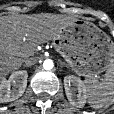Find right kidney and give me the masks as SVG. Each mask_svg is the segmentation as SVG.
<instances>
[{"label":"right kidney","instance_id":"right-kidney-1","mask_svg":"<svg viewBox=\"0 0 114 114\" xmlns=\"http://www.w3.org/2000/svg\"><path fill=\"white\" fill-rule=\"evenodd\" d=\"M28 73L25 70L13 72L0 85V103L11 102L23 95L27 86Z\"/></svg>","mask_w":114,"mask_h":114}]
</instances>
